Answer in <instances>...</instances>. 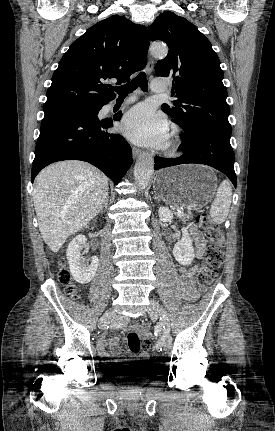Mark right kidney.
<instances>
[{
	"label": "right kidney",
	"mask_w": 275,
	"mask_h": 431,
	"mask_svg": "<svg viewBox=\"0 0 275 431\" xmlns=\"http://www.w3.org/2000/svg\"><path fill=\"white\" fill-rule=\"evenodd\" d=\"M85 242L86 238L84 235H77L69 243L66 251L71 275L75 281L81 284H87L93 279L99 264L97 256L91 258V264L81 257V250Z\"/></svg>",
	"instance_id": "right-kidney-1"
}]
</instances>
